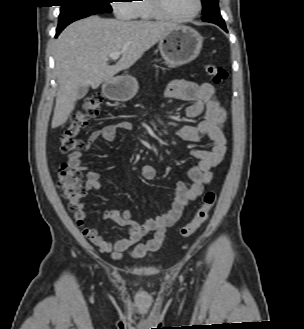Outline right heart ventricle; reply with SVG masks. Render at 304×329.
I'll return each mask as SVG.
<instances>
[{
	"label": "right heart ventricle",
	"instance_id": "e07e8e85",
	"mask_svg": "<svg viewBox=\"0 0 304 329\" xmlns=\"http://www.w3.org/2000/svg\"><path fill=\"white\" fill-rule=\"evenodd\" d=\"M138 4H133L134 19L141 21H151L156 18L153 13L149 0H138Z\"/></svg>",
	"mask_w": 304,
	"mask_h": 329
}]
</instances>
